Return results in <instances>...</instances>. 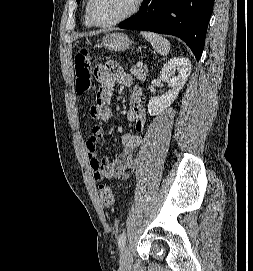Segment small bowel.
Returning <instances> with one entry per match:
<instances>
[{"label":"small bowel","mask_w":253,"mask_h":271,"mask_svg":"<svg viewBox=\"0 0 253 271\" xmlns=\"http://www.w3.org/2000/svg\"><path fill=\"white\" fill-rule=\"evenodd\" d=\"M98 78L97 102L90 107V116L97 123L84 137L83 146L95 180L126 179L137 164L136 150L142 142V137L134 133L122 136L123 152L113 162L107 158H99L96 145L103 138V123L112 115V93L115 84L131 89V105L126 118L134 124L137 132H142L146 126V114L141 106L142 91L133 78L125 73L122 67L113 61L99 65L96 68Z\"/></svg>","instance_id":"obj_1"}]
</instances>
